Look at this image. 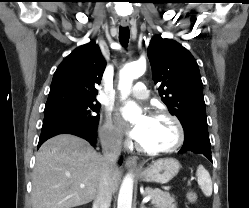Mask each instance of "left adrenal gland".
<instances>
[{
  "label": "left adrenal gland",
  "mask_w": 249,
  "mask_h": 208,
  "mask_svg": "<svg viewBox=\"0 0 249 208\" xmlns=\"http://www.w3.org/2000/svg\"><path fill=\"white\" fill-rule=\"evenodd\" d=\"M140 208H147L144 203L142 202L141 205H140Z\"/></svg>",
  "instance_id": "1"
}]
</instances>
